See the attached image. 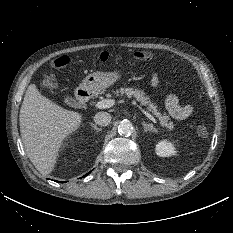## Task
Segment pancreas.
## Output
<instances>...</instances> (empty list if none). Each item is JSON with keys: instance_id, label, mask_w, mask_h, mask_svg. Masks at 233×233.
<instances>
[{"instance_id": "cf45deb5", "label": "pancreas", "mask_w": 233, "mask_h": 233, "mask_svg": "<svg viewBox=\"0 0 233 233\" xmlns=\"http://www.w3.org/2000/svg\"><path fill=\"white\" fill-rule=\"evenodd\" d=\"M115 94L117 96L126 95L129 98H136V100L139 101L142 105L148 106V110L151 111L160 120V123L163 126L167 127L169 130L173 129L174 124L172 121H170V117L166 115L162 116L158 112L157 106L151 103L149 97L145 96V93L143 91L134 90L133 88H120V90H116Z\"/></svg>"}]
</instances>
